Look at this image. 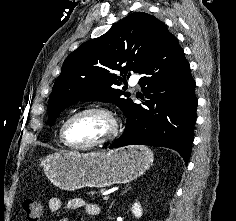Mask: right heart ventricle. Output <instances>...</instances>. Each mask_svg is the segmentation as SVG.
Segmentation results:
<instances>
[{
  "label": "right heart ventricle",
  "mask_w": 236,
  "mask_h": 221,
  "mask_svg": "<svg viewBox=\"0 0 236 221\" xmlns=\"http://www.w3.org/2000/svg\"><path fill=\"white\" fill-rule=\"evenodd\" d=\"M61 129V128H60ZM59 138H60V142L62 143L61 137H60V133H59Z\"/></svg>",
  "instance_id": "1"
}]
</instances>
